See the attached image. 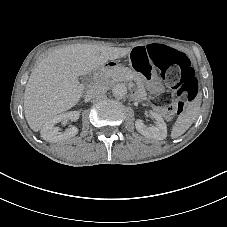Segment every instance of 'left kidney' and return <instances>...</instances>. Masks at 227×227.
I'll use <instances>...</instances> for the list:
<instances>
[{
  "label": "left kidney",
  "instance_id": "left-kidney-1",
  "mask_svg": "<svg viewBox=\"0 0 227 227\" xmlns=\"http://www.w3.org/2000/svg\"><path fill=\"white\" fill-rule=\"evenodd\" d=\"M145 112L149 113L156 120L157 125L146 126L144 121L138 118L135 121L138 132L151 139L164 140L167 137V125L162 116L158 112L152 110H145Z\"/></svg>",
  "mask_w": 227,
  "mask_h": 227
}]
</instances>
